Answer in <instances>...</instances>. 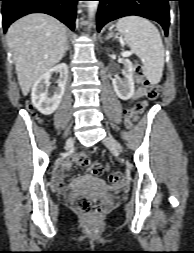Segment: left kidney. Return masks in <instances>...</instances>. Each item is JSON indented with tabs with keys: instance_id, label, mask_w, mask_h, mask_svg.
Returning a JSON list of instances; mask_svg holds the SVG:
<instances>
[{
	"instance_id": "obj_1",
	"label": "left kidney",
	"mask_w": 194,
	"mask_h": 253,
	"mask_svg": "<svg viewBox=\"0 0 194 253\" xmlns=\"http://www.w3.org/2000/svg\"><path fill=\"white\" fill-rule=\"evenodd\" d=\"M134 70L131 61L129 59L124 60V69L122 71L124 78H114L112 79V84L114 91L117 96L122 100H128L134 95L135 86H134Z\"/></svg>"
}]
</instances>
